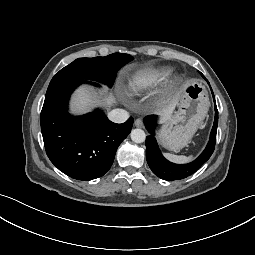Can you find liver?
<instances>
[{"label": "liver", "mask_w": 255, "mask_h": 255, "mask_svg": "<svg viewBox=\"0 0 255 255\" xmlns=\"http://www.w3.org/2000/svg\"><path fill=\"white\" fill-rule=\"evenodd\" d=\"M96 103V95L91 92L87 88H80L76 91L75 95L72 99V110L77 113L86 112L90 109V107L94 106ZM115 103V98L110 95L108 98L105 99L104 104L106 106H111ZM178 103V96L176 99L166 108L159 112L161 115L160 122H164L168 117H170L171 113L173 112L176 104Z\"/></svg>", "instance_id": "liver-1"}]
</instances>
